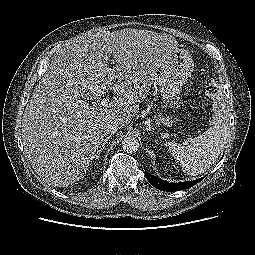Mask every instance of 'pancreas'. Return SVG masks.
<instances>
[{"label":"pancreas","instance_id":"1","mask_svg":"<svg viewBox=\"0 0 255 255\" xmlns=\"http://www.w3.org/2000/svg\"><path fill=\"white\" fill-rule=\"evenodd\" d=\"M158 122H161L165 125H170V120L168 118H164V116L162 115V113L160 112L158 115H155L154 117Z\"/></svg>","mask_w":255,"mask_h":255}]
</instances>
